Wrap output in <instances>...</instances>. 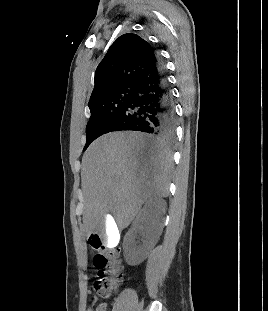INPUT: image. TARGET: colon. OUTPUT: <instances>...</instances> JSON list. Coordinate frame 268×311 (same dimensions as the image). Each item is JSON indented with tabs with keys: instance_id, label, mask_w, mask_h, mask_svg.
<instances>
[{
	"instance_id": "colon-1",
	"label": "colon",
	"mask_w": 268,
	"mask_h": 311,
	"mask_svg": "<svg viewBox=\"0 0 268 311\" xmlns=\"http://www.w3.org/2000/svg\"><path fill=\"white\" fill-rule=\"evenodd\" d=\"M102 239L93 234L89 238L92 249V262L98 270V278L93 282V290L98 297H107L123 280V266L120 260V249H107L101 244ZM96 311H105L100 304Z\"/></svg>"
}]
</instances>
